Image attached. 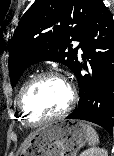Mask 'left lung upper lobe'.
I'll return each mask as SVG.
<instances>
[{"label": "left lung upper lobe", "instance_id": "left-lung-upper-lobe-1", "mask_svg": "<svg viewBox=\"0 0 114 156\" xmlns=\"http://www.w3.org/2000/svg\"><path fill=\"white\" fill-rule=\"evenodd\" d=\"M100 0H36L21 18L9 53L12 86L30 65L42 60L60 62L73 72L80 41Z\"/></svg>", "mask_w": 114, "mask_h": 156}]
</instances>
